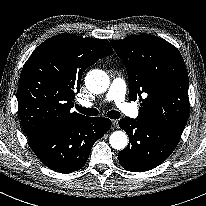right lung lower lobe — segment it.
I'll list each match as a JSON object with an SVG mask.
<instances>
[{"label":"right lung lower lobe","mask_w":206,"mask_h":206,"mask_svg":"<svg viewBox=\"0 0 206 206\" xmlns=\"http://www.w3.org/2000/svg\"><path fill=\"white\" fill-rule=\"evenodd\" d=\"M111 121L97 117L28 139L36 156L51 170L71 173L81 169L89 158L95 141L110 128Z\"/></svg>","instance_id":"right-lung-lower-lobe-1"}]
</instances>
